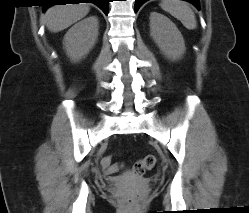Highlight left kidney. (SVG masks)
<instances>
[{"label": "left kidney", "mask_w": 249, "mask_h": 213, "mask_svg": "<svg viewBox=\"0 0 249 213\" xmlns=\"http://www.w3.org/2000/svg\"><path fill=\"white\" fill-rule=\"evenodd\" d=\"M150 33L162 53L172 61L180 59L185 53V43L181 32L166 16L150 14Z\"/></svg>", "instance_id": "1"}]
</instances>
